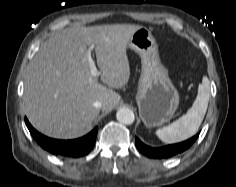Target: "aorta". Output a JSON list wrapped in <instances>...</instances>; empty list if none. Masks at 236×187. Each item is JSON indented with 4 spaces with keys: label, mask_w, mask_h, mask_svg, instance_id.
I'll list each match as a JSON object with an SVG mask.
<instances>
[{
    "label": "aorta",
    "mask_w": 236,
    "mask_h": 187,
    "mask_svg": "<svg viewBox=\"0 0 236 187\" xmlns=\"http://www.w3.org/2000/svg\"><path fill=\"white\" fill-rule=\"evenodd\" d=\"M116 118L119 122L130 125L134 122L135 116L131 109L120 108L116 113Z\"/></svg>",
    "instance_id": "1"
}]
</instances>
